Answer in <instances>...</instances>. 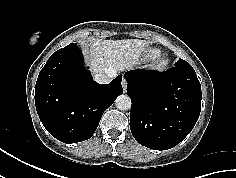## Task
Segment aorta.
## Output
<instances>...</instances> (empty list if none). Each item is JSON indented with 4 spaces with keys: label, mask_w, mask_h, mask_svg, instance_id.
I'll use <instances>...</instances> for the list:
<instances>
[{
    "label": "aorta",
    "mask_w": 236,
    "mask_h": 178,
    "mask_svg": "<svg viewBox=\"0 0 236 178\" xmlns=\"http://www.w3.org/2000/svg\"><path fill=\"white\" fill-rule=\"evenodd\" d=\"M115 104L119 110H128L131 108V99L129 96L122 94L117 97Z\"/></svg>",
    "instance_id": "obj_1"
}]
</instances>
